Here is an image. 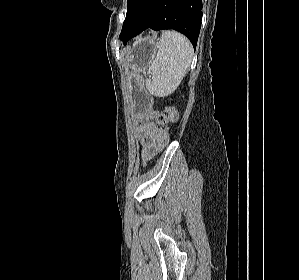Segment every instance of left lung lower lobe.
Here are the masks:
<instances>
[{
	"label": "left lung lower lobe",
	"mask_w": 299,
	"mask_h": 280,
	"mask_svg": "<svg viewBox=\"0 0 299 280\" xmlns=\"http://www.w3.org/2000/svg\"><path fill=\"white\" fill-rule=\"evenodd\" d=\"M202 15V0H133L120 39L126 44L147 28L174 29L196 48Z\"/></svg>",
	"instance_id": "left-lung-lower-lobe-1"
}]
</instances>
